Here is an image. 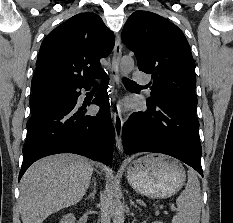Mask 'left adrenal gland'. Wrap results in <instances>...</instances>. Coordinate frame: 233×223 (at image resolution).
<instances>
[{
    "mask_svg": "<svg viewBox=\"0 0 233 223\" xmlns=\"http://www.w3.org/2000/svg\"><path fill=\"white\" fill-rule=\"evenodd\" d=\"M130 205H134V207H138V205H136L135 201H133V199H130ZM139 209V207H138Z\"/></svg>",
    "mask_w": 233,
    "mask_h": 223,
    "instance_id": "a2214340",
    "label": "left adrenal gland"
}]
</instances>
